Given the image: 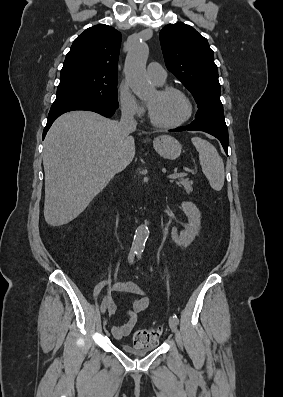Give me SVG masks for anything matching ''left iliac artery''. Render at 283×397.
Returning a JSON list of instances; mask_svg holds the SVG:
<instances>
[{
	"label": "left iliac artery",
	"mask_w": 283,
	"mask_h": 397,
	"mask_svg": "<svg viewBox=\"0 0 283 397\" xmlns=\"http://www.w3.org/2000/svg\"><path fill=\"white\" fill-rule=\"evenodd\" d=\"M141 254H142V251L137 252L138 259H141ZM173 317L175 318L176 323L178 324L179 323L178 317L176 315H174Z\"/></svg>",
	"instance_id": "left-iliac-artery-1"
}]
</instances>
